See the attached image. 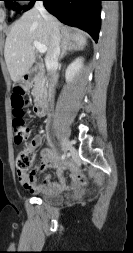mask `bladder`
<instances>
[{
    "instance_id": "1",
    "label": "bladder",
    "mask_w": 133,
    "mask_h": 253,
    "mask_svg": "<svg viewBox=\"0 0 133 253\" xmlns=\"http://www.w3.org/2000/svg\"><path fill=\"white\" fill-rule=\"evenodd\" d=\"M39 198L50 204H61L64 200L62 195L49 192L41 193Z\"/></svg>"
}]
</instances>
